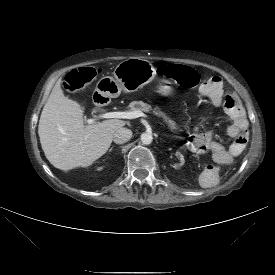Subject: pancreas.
<instances>
[{
  "label": "pancreas",
  "instance_id": "pancreas-1",
  "mask_svg": "<svg viewBox=\"0 0 275 275\" xmlns=\"http://www.w3.org/2000/svg\"><path fill=\"white\" fill-rule=\"evenodd\" d=\"M129 108L131 111H141V112H149L152 109L151 105L144 103L142 101H133L129 104ZM153 112L155 115L158 117H162L165 121V123L168 125L169 129L173 132L176 133V131L179 130V127L177 124L171 120L164 112H162L158 107H156Z\"/></svg>",
  "mask_w": 275,
  "mask_h": 275
}]
</instances>
